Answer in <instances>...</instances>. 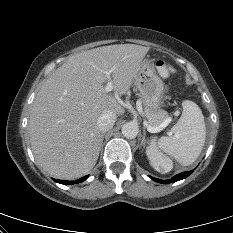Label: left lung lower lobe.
<instances>
[{
    "mask_svg": "<svg viewBox=\"0 0 233 233\" xmlns=\"http://www.w3.org/2000/svg\"><path fill=\"white\" fill-rule=\"evenodd\" d=\"M193 171H187V172H182L180 174H177L176 176H174L172 179L170 180H160V179H156V178H152L150 177L151 179H153L154 181L158 182V183H162V184H169L170 182H176V181H179V180H182L186 177H188Z\"/></svg>",
    "mask_w": 233,
    "mask_h": 233,
    "instance_id": "obj_1",
    "label": "left lung lower lobe"
}]
</instances>
